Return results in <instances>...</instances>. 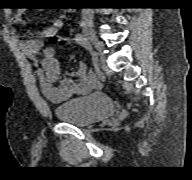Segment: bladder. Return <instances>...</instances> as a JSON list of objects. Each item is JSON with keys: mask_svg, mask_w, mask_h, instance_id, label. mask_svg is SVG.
I'll list each match as a JSON object with an SVG mask.
<instances>
[{"mask_svg": "<svg viewBox=\"0 0 192 180\" xmlns=\"http://www.w3.org/2000/svg\"><path fill=\"white\" fill-rule=\"evenodd\" d=\"M115 112L113 101L103 93L75 98L54 109L55 115L63 122L84 126L112 116Z\"/></svg>", "mask_w": 192, "mask_h": 180, "instance_id": "obj_1", "label": "bladder"}]
</instances>
